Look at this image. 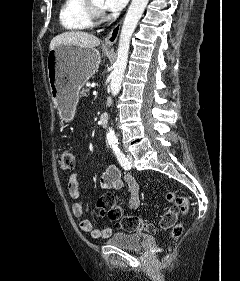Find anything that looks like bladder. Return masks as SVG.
I'll return each instance as SVG.
<instances>
[{
    "mask_svg": "<svg viewBox=\"0 0 240 281\" xmlns=\"http://www.w3.org/2000/svg\"><path fill=\"white\" fill-rule=\"evenodd\" d=\"M107 244L120 249L138 251L145 244V235L139 232H119L113 234L108 239Z\"/></svg>",
    "mask_w": 240,
    "mask_h": 281,
    "instance_id": "obj_1",
    "label": "bladder"
}]
</instances>
